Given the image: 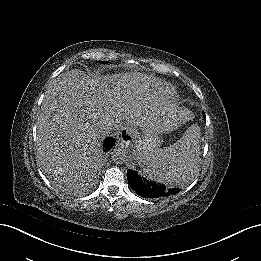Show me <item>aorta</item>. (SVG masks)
Here are the masks:
<instances>
[{
  "instance_id": "aorta-1",
  "label": "aorta",
  "mask_w": 261,
  "mask_h": 261,
  "mask_svg": "<svg viewBox=\"0 0 261 261\" xmlns=\"http://www.w3.org/2000/svg\"><path fill=\"white\" fill-rule=\"evenodd\" d=\"M111 154L112 160L117 164H124L129 160V154L124 150V147L121 144H118Z\"/></svg>"
}]
</instances>
